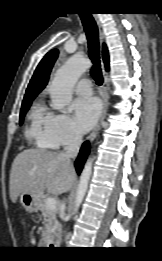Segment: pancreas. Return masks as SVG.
Masks as SVG:
<instances>
[{"instance_id":"obj_1","label":"pancreas","mask_w":162,"mask_h":261,"mask_svg":"<svg viewBox=\"0 0 162 261\" xmlns=\"http://www.w3.org/2000/svg\"><path fill=\"white\" fill-rule=\"evenodd\" d=\"M46 198L41 199L39 210L44 218V229L42 232L41 242L43 244H49L57 235L59 230V222L56 218V211L49 210L46 207Z\"/></svg>"}]
</instances>
